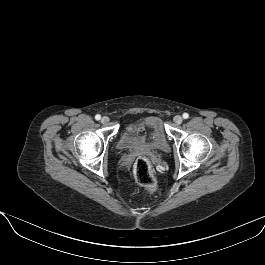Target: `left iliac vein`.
Masks as SVG:
<instances>
[{"mask_svg": "<svg viewBox=\"0 0 265 265\" xmlns=\"http://www.w3.org/2000/svg\"><path fill=\"white\" fill-rule=\"evenodd\" d=\"M182 121H183V118H182L180 115H176V116L174 117V122H175L176 124H181Z\"/></svg>", "mask_w": 265, "mask_h": 265, "instance_id": "4c4485c4", "label": "left iliac vein"}]
</instances>
